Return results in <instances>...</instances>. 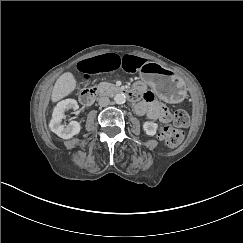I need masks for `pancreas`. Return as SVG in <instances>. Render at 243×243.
I'll list each match as a JSON object with an SVG mask.
<instances>
[{
	"instance_id": "cf45deb5",
	"label": "pancreas",
	"mask_w": 243,
	"mask_h": 243,
	"mask_svg": "<svg viewBox=\"0 0 243 243\" xmlns=\"http://www.w3.org/2000/svg\"><path fill=\"white\" fill-rule=\"evenodd\" d=\"M118 88L110 83V82H106V81H103V82H100V84L98 85V90L100 93H110L112 91H115L117 90Z\"/></svg>"
}]
</instances>
